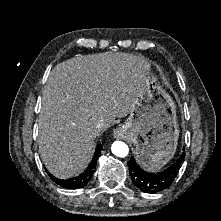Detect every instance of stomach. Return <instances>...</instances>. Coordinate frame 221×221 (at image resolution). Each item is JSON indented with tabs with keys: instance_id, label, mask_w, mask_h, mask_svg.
Masks as SVG:
<instances>
[{
	"instance_id": "stomach-1",
	"label": "stomach",
	"mask_w": 221,
	"mask_h": 221,
	"mask_svg": "<svg viewBox=\"0 0 221 221\" xmlns=\"http://www.w3.org/2000/svg\"><path fill=\"white\" fill-rule=\"evenodd\" d=\"M122 128L143 168L158 169L174 156L179 137L176 105L150 70Z\"/></svg>"
}]
</instances>
